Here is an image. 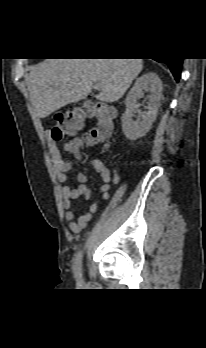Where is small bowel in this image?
I'll return each mask as SVG.
<instances>
[{
    "label": "small bowel",
    "instance_id": "c3829d8e",
    "mask_svg": "<svg viewBox=\"0 0 206 348\" xmlns=\"http://www.w3.org/2000/svg\"><path fill=\"white\" fill-rule=\"evenodd\" d=\"M66 152H75L70 144L64 147ZM50 156L54 164L55 173L57 180L64 183L68 179V173L72 168L71 162L65 160L62 155L61 149L54 143L49 146ZM91 166L98 173L102 181V186L100 188L99 197L100 199H108L110 197V188L112 184H117L119 182V174L117 169L112 168L107 163L100 159H93L91 161ZM88 177L84 173H79L77 175V186L76 187H63L62 198L63 206L66 210V220L70 230L78 234L87 225L92 215L99 208V200L94 201L87 211H84L79 216H76L75 212L72 210V203L74 200L79 198L88 199L90 197V190L87 187Z\"/></svg>",
    "mask_w": 206,
    "mask_h": 348
}]
</instances>
